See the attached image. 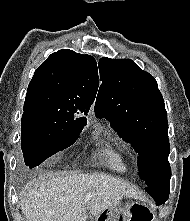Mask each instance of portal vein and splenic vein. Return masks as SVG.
<instances>
[{"label":"portal vein and splenic vein","instance_id":"1","mask_svg":"<svg viewBox=\"0 0 190 221\" xmlns=\"http://www.w3.org/2000/svg\"><path fill=\"white\" fill-rule=\"evenodd\" d=\"M92 196H93V195H92V193H89V194L86 196V199H88V200H89V199H91V198H92Z\"/></svg>","mask_w":190,"mask_h":221}]
</instances>
